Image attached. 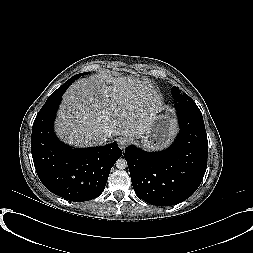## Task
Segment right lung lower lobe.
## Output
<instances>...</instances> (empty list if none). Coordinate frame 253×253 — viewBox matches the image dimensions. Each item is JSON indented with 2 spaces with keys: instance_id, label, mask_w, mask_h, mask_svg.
Segmentation results:
<instances>
[{
  "instance_id": "98d812e1",
  "label": "right lung lower lobe",
  "mask_w": 253,
  "mask_h": 253,
  "mask_svg": "<svg viewBox=\"0 0 253 253\" xmlns=\"http://www.w3.org/2000/svg\"><path fill=\"white\" fill-rule=\"evenodd\" d=\"M71 83L59 87L37 114L32 127L31 152L36 172L49 191L64 199L82 202L103 192L110 170L122 151L116 142L85 149L71 148L55 136L56 111Z\"/></svg>"
}]
</instances>
